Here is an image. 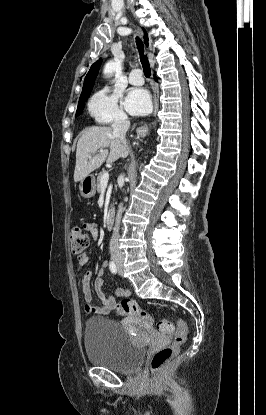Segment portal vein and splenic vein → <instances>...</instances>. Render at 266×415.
I'll return each instance as SVG.
<instances>
[{
    "mask_svg": "<svg viewBox=\"0 0 266 415\" xmlns=\"http://www.w3.org/2000/svg\"><path fill=\"white\" fill-rule=\"evenodd\" d=\"M108 181H109V174L107 172H105L102 175L101 180H100L101 187L102 188H106L107 187V184H108Z\"/></svg>",
    "mask_w": 266,
    "mask_h": 415,
    "instance_id": "obj_1",
    "label": "portal vein and splenic vein"
}]
</instances>
